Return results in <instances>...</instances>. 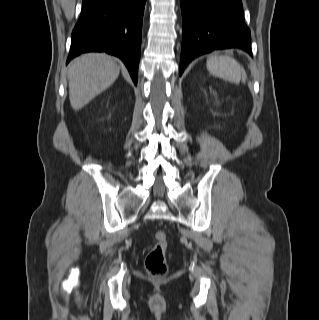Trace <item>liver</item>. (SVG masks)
<instances>
[{"instance_id":"6515ba94","label":"liver","mask_w":319,"mask_h":320,"mask_svg":"<svg viewBox=\"0 0 319 320\" xmlns=\"http://www.w3.org/2000/svg\"><path fill=\"white\" fill-rule=\"evenodd\" d=\"M120 67L110 55L87 53L68 67L69 99L74 110L87 105L118 78Z\"/></svg>"}]
</instances>
